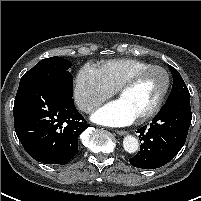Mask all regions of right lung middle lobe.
<instances>
[{
    "instance_id": "right-lung-middle-lobe-1",
    "label": "right lung middle lobe",
    "mask_w": 201,
    "mask_h": 201,
    "mask_svg": "<svg viewBox=\"0 0 201 201\" xmlns=\"http://www.w3.org/2000/svg\"><path fill=\"white\" fill-rule=\"evenodd\" d=\"M71 63L62 57H50L41 60L33 68L24 74L20 82L31 78H45L55 81L72 91L73 76L68 71Z\"/></svg>"
}]
</instances>
